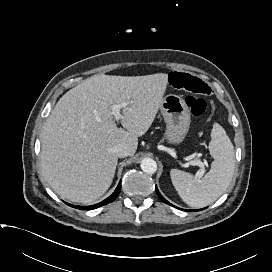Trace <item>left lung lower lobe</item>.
<instances>
[{
    "label": "left lung lower lobe",
    "mask_w": 272,
    "mask_h": 272,
    "mask_svg": "<svg viewBox=\"0 0 272 272\" xmlns=\"http://www.w3.org/2000/svg\"><path fill=\"white\" fill-rule=\"evenodd\" d=\"M156 192H157L158 197H159L164 203L171 205V204H170L168 201H166V200L163 198V196L159 193L157 187H156ZM172 206H173V205H172ZM174 207H175V206H174ZM189 211H198V210H189Z\"/></svg>",
    "instance_id": "left-lung-lower-lobe-1"
}]
</instances>
